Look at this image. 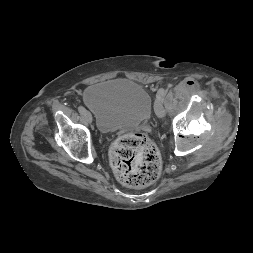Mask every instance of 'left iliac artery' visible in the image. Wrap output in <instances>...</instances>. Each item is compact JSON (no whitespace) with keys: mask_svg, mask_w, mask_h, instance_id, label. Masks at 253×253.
Instances as JSON below:
<instances>
[{"mask_svg":"<svg viewBox=\"0 0 253 253\" xmlns=\"http://www.w3.org/2000/svg\"><path fill=\"white\" fill-rule=\"evenodd\" d=\"M165 95H166V90L164 88H160L157 92V99H160L163 102L165 99Z\"/></svg>","mask_w":253,"mask_h":253,"instance_id":"left-iliac-artery-1","label":"left iliac artery"}]
</instances>
